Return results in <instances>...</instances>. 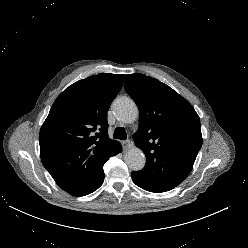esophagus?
I'll list each match as a JSON object with an SVG mask.
<instances>
[{"label": "esophagus", "instance_id": "obj_1", "mask_svg": "<svg viewBox=\"0 0 248 248\" xmlns=\"http://www.w3.org/2000/svg\"><path fill=\"white\" fill-rule=\"evenodd\" d=\"M123 150L127 151L133 147V142L131 140L122 141Z\"/></svg>", "mask_w": 248, "mask_h": 248}]
</instances>
